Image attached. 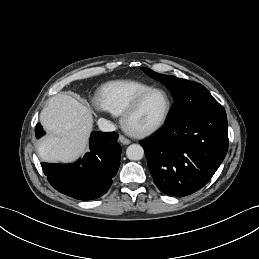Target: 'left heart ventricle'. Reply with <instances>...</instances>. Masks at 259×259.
I'll list each match as a JSON object with an SVG mask.
<instances>
[{"label":"left heart ventricle","mask_w":259,"mask_h":259,"mask_svg":"<svg viewBox=\"0 0 259 259\" xmlns=\"http://www.w3.org/2000/svg\"><path fill=\"white\" fill-rule=\"evenodd\" d=\"M167 99L163 93L156 92L146 98L138 110L130 117L129 125L137 130L157 124L163 117Z\"/></svg>","instance_id":"left-heart-ventricle-1"}]
</instances>
